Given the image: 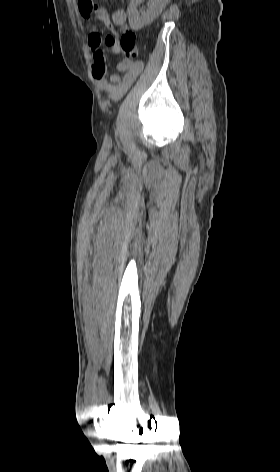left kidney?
I'll list each match as a JSON object with an SVG mask.
<instances>
[{
  "label": "left kidney",
  "instance_id": "1",
  "mask_svg": "<svg viewBox=\"0 0 280 472\" xmlns=\"http://www.w3.org/2000/svg\"><path fill=\"white\" fill-rule=\"evenodd\" d=\"M141 2L142 0H131L128 6L129 24L134 30H139L151 23L159 15L165 5V0H149L148 10L139 14L137 6Z\"/></svg>",
  "mask_w": 280,
  "mask_h": 472
}]
</instances>
